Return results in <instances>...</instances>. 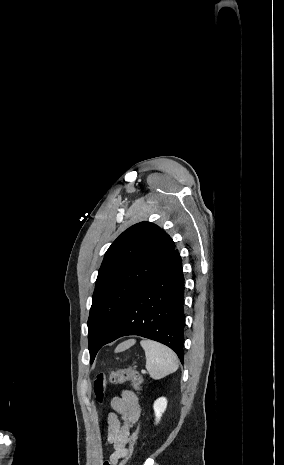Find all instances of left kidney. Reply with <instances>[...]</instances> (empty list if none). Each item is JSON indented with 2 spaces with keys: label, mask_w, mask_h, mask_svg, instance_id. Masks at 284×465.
I'll list each match as a JSON object with an SVG mask.
<instances>
[{
  "label": "left kidney",
  "mask_w": 284,
  "mask_h": 465,
  "mask_svg": "<svg viewBox=\"0 0 284 465\" xmlns=\"http://www.w3.org/2000/svg\"><path fill=\"white\" fill-rule=\"evenodd\" d=\"M167 403L168 401L167 399H165V397H160V399H157V401H155L153 409L156 417V423H159L162 417V413L166 411Z\"/></svg>",
  "instance_id": "5707ae66"
}]
</instances>
